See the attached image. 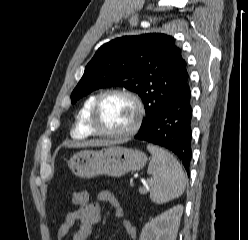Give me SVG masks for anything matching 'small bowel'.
<instances>
[{
	"instance_id": "c3829d8e",
	"label": "small bowel",
	"mask_w": 248,
	"mask_h": 240,
	"mask_svg": "<svg viewBox=\"0 0 248 240\" xmlns=\"http://www.w3.org/2000/svg\"><path fill=\"white\" fill-rule=\"evenodd\" d=\"M104 202L114 209L117 218L122 219L124 217V210L114 193L106 190L100 191L96 196V201L88 202L67 213L64 222L58 229L57 240H64L77 222H80L81 228L73 240H87L94 226L100 221L101 204ZM122 228L132 240L135 239L136 228L130 221L123 220Z\"/></svg>"
}]
</instances>
